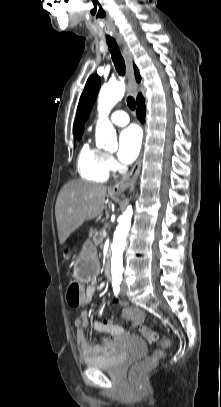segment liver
<instances>
[{
  "label": "liver",
  "instance_id": "liver-1",
  "mask_svg": "<svg viewBox=\"0 0 221 407\" xmlns=\"http://www.w3.org/2000/svg\"><path fill=\"white\" fill-rule=\"evenodd\" d=\"M106 193V186L80 180L63 186L55 205L60 244L84 221L94 219L102 213Z\"/></svg>",
  "mask_w": 221,
  "mask_h": 407
}]
</instances>
